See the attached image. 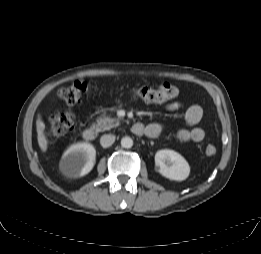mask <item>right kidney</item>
Masks as SVG:
<instances>
[{"mask_svg": "<svg viewBox=\"0 0 261 254\" xmlns=\"http://www.w3.org/2000/svg\"><path fill=\"white\" fill-rule=\"evenodd\" d=\"M95 159L96 150L91 144L76 143L65 151L60 162V168L67 177H81L92 170Z\"/></svg>", "mask_w": 261, "mask_h": 254, "instance_id": "1", "label": "right kidney"}]
</instances>
